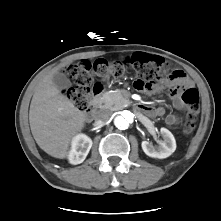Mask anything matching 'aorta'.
Wrapping results in <instances>:
<instances>
[{
  "mask_svg": "<svg viewBox=\"0 0 221 221\" xmlns=\"http://www.w3.org/2000/svg\"><path fill=\"white\" fill-rule=\"evenodd\" d=\"M135 115L130 110H124L119 116L115 118V126L118 129H126L129 127L130 124L134 122Z\"/></svg>",
  "mask_w": 221,
  "mask_h": 221,
  "instance_id": "aorta-1",
  "label": "aorta"
}]
</instances>
